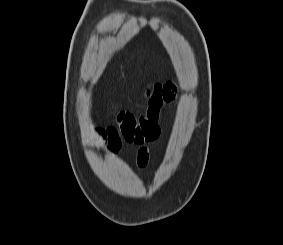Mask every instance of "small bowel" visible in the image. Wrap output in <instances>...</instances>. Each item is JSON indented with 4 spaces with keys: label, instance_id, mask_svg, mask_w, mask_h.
<instances>
[{
    "label": "small bowel",
    "instance_id": "small-bowel-1",
    "mask_svg": "<svg viewBox=\"0 0 283 245\" xmlns=\"http://www.w3.org/2000/svg\"><path fill=\"white\" fill-rule=\"evenodd\" d=\"M162 85V97L163 104L171 103L176 96L177 87L176 85L168 81ZM97 137L102 143L107 144L111 154L116 153L119 150L121 139L118 130L115 127L109 126L107 128H98L96 130ZM151 158V150L147 146H142L138 149L136 155V165L139 170H145L149 166Z\"/></svg>",
    "mask_w": 283,
    "mask_h": 245
}]
</instances>
